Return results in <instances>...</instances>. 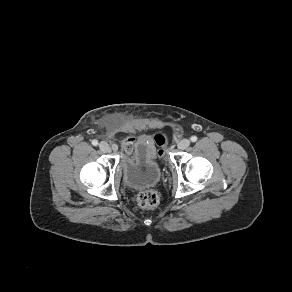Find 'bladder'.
Segmentation results:
<instances>
[{
  "label": "bladder",
  "mask_w": 292,
  "mask_h": 292,
  "mask_svg": "<svg viewBox=\"0 0 292 292\" xmlns=\"http://www.w3.org/2000/svg\"><path fill=\"white\" fill-rule=\"evenodd\" d=\"M122 175L127 186L144 188L152 186L158 181L160 169L154 159L141 163L126 160L122 163Z\"/></svg>",
  "instance_id": "1"
}]
</instances>
